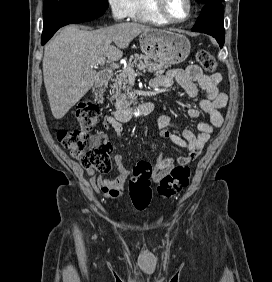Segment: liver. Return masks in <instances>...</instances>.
<instances>
[{"instance_id":"1","label":"liver","mask_w":272,"mask_h":282,"mask_svg":"<svg viewBox=\"0 0 272 282\" xmlns=\"http://www.w3.org/2000/svg\"><path fill=\"white\" fill-rule=\"evenodd\" d=\"M151 29L136 22L94 31L74 25L64 27L45 46L43 58L44 84L54 118H63L93 86L97 76L93 67L97 60L105 57L109 61L119 60L122 50L135 37Z\"/></svg>"}]
</instances>
